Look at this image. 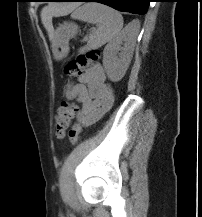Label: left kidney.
Masks as SVG:
<instances>
[{
    "instance_id": "1",
    "label": "left kidney",
    "mask_w": 202,
    "mask_h": 217,
    "mask_svg": "<svg viewBox=\"0 0 202 217\" xmlns=\"http://www.w3.org/2000/svg\"><path fill=\"white\" fill-rule=\"evenodd\" d=\"M136 34L137 32L133 31L129 25L105 46L103 66L112 82H118L124 77L133 56ZM122 41H125L123 47Z\"/></svg>"
}]
</instances>
